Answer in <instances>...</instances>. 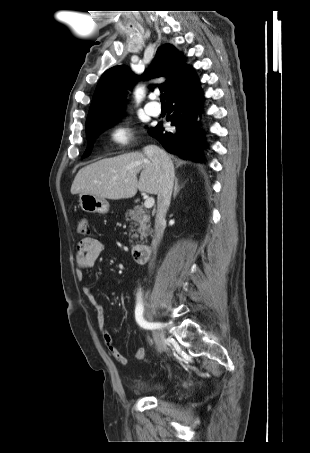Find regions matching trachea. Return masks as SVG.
Wrapping results in <instances>:
<instances>
[{
    "label": "trachea",
    "mask_w": 310,
    "mask_h": 453,
    "mask_svg": "<svg viewBox=\"0 0 310 453\" xmlns=\"http://www.w3.org/2000/svg\"><path fill=\"white\" fill-rule=\"evenodd\" d=\"M160 101H161L162 104H165V102H164V94L160 95Z\"/></svg>",
    "instance_id": "obj_1"
}]
</instances>
